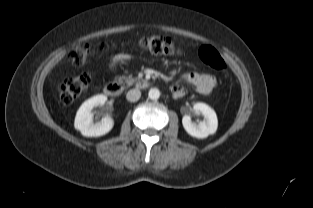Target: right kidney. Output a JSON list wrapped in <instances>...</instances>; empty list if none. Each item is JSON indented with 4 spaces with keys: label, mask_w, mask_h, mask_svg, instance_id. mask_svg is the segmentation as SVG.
Segmentation results:
<instances>
[{
    "label": "right kidney",
    "mask_w": 313,
    "mask_h": 208,
    "mask_svg": "<svg viewBox=\"0 0 313 208\" xmlns=\"http://www.w3.org/2000/svg\"><path fill=\"white\" fill-rule=\"evenodd\" d=\"M107 97L103 94L93 96L86 100L77 111L74 127L85 137H99L107 134L114 126L111 116L106 115L100 122H93L92 109L103 106Z\"/></svg>",
    "instance_id": "right-kidney-1"
}]
</instances>
